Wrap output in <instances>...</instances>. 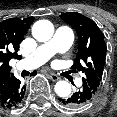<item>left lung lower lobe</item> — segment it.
Returning a JSON list of instances; mask_svg holds the SVG:
<instances>
[{
  "label": "left lung lower lobe",
  "mask_w": 117,
  "mask_h": 117,
  "mask_svg": "<svg viewBox=\"0 0 117 117\" xmlns=\"http://www.w3.org/2000/svg\"><path fill=\"white\" fill-rule=\"evenodd\" d=\"M94 96L95 94L90 87L83 84V87L75 92L72 96L65 97L63 99L60 98L59 100L67 107L77 108L90 103Z\"/></svg>",
  "instance_id": "left-lung-lower-lobe-1"
}]
</instances>
